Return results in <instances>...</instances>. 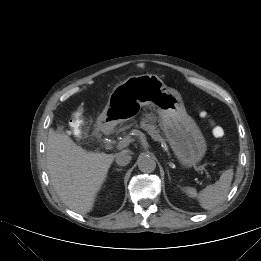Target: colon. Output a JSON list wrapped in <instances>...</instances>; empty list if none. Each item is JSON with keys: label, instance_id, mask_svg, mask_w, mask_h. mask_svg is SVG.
<instances>
[{"label": "colon", "instance_id": "1", "mask_svg": "<svg viewBox=\"0 0 261 261\" xmlns=\"http://www.w3.org/2000/svg\"><path fill=\"white\" fill-rule=\"evenodd\" d=\"M201 115L204 116L205 113L202 112ZM212 134H213V136L216 137V138H221V137H223V135H224V130H223L220 126L214 125V126L212 127Z\"/></svg>", "mask_w": 261, "mask_h": 261}]
</instances>
